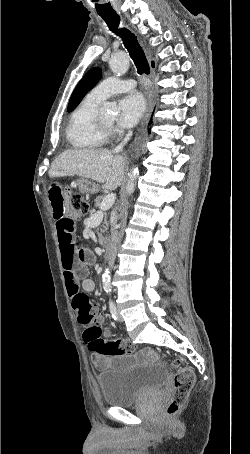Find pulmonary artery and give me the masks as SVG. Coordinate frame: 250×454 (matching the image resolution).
I'll use <instances>...</instances> for the list:
<instances>
[{
	"label": "pulmonary artery",
	"instance_id": "pulmonary-artery-1",
	"mask_svg": "<svg viewBox=\"0 0 250 454\" xmlns=\"http://www.w3.org/2000/svg\"><path fill=\"white\" fill-rule=\"evenodd\" d=\"M135 87L134 79L122 80L118 77H109L101 81L88 96L94 100L103 101L115 93L125 92Z\"/></svg>",
	"mask_w": 250,
	"mask_h": 454
}]
</instances>
